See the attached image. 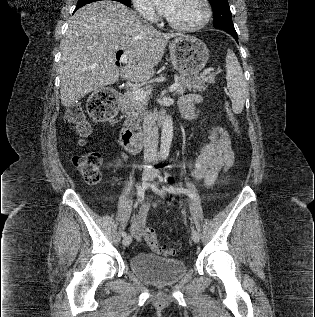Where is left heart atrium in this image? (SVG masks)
Instances as JSON below:
<instances>
[{
	"label": "left heart atrium",
	"instance_id": "1",
	"mask_svg": "<svg viewBox=\"0 0 315 317\" xmlns=\"http://www.w3.org/2000/svg\"><path fill=\"white\" fill-rule=\"evenodd\" d=\"M172 1L173 0H165L163 3L160 4V10L164 14H168L171 7H172Z\"/></svg>",
	"mask_w": 315,
	"mask_h": 317
}]
</instances>
